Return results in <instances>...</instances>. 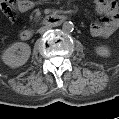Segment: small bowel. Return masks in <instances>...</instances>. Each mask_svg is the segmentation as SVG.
Wrapping results in <instances>:
<instances>
[{
	"label": "small bowel",
	"mask_w": 119,
	"mask_h": 119,
	"mask_svg": "<svg viewBox=\"0 0 119 119\" xmlns=\"http://www.w3.org/2000/svg\"><path fill=\"white\" fill-rule=\"evenodd\" d=\"M96 10L103 17L90 25V32L95 37H108L112 35L119 26L118 6L115 1L95 0ZM36 5L30 0H7L3 2L2 9L10 22H15L18 13H25Z\"/></svg>",
	"instance_id": "c3829d8e"
}]
</instances>
